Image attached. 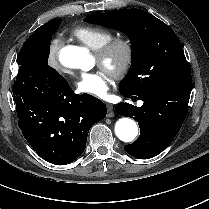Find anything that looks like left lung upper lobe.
<instances>
[{
	"mask_svg": "<svg viewBox=\"0 0 209 209\" xmlns=\"http://www.w3.org/2000/svg\"><path fill=\"white\" fill-rule=\"evenodd\" d=\"M91 24L124 32L131 41L132 66L119 91L139 93L155 85H191L192 78L182 45L164 22L140 9L92 14Z\"/></svg>",
	"mask_w": 209,
	"mask_h": 209,
	"instance_id": "1",
	"label": "left lung upper lobe"
}]
</instances>
